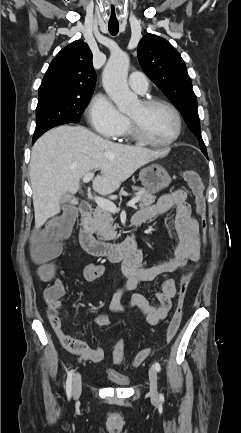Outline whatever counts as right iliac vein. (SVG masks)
I'll return each instance as SVG.
<instances>
[{
	"instance_id": "obj_1",
	"label": "right iliac vein",
	"mask_w": 241,
	"mask_h": 433,
	"mask_svg": "<svg viewBox=\"0 0 241 433\" xmlns=\"http://www.w3.org/2000/svg\"><path fill=\"white\" fill-rule=\"evenodd\" d=\"M82 392V380L80 373H76L73 378V396L78 399Z\"/></svg>"
}]
</instances>
